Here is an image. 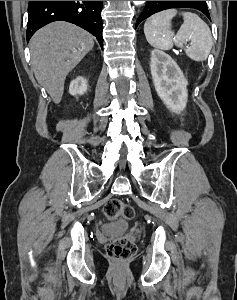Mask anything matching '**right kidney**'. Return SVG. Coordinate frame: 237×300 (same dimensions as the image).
Returning <instances> with one entry per match:
<instances>
[{"mask_svg":"<svg viewBox=\"0 0 237 300\" xmlns=\"http://www.w3.org/2000/svg\"><path fill=\"white\" fill-rule=\"evenodd\" d=\"M87 91V83L84 77H76L74 81H71L69 87L70 95H84Z\"/></svg>","mask_w":237,"mask_h":300,"instance_id":"1","label":"right kidney"}]
</instances>
